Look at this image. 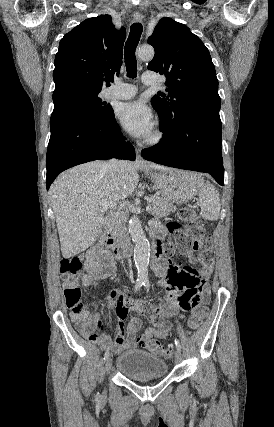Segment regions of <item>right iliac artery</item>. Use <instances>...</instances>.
Listing matches in <instances>:
<instances>
[{"mask_svg":"<svg viewBox=\"0 0 274 427\" xmlns=\"http://www.w3.org/2000/svg\"><path fill=\"white\" fill-rule=\"evenodd\" d=\"M142 285H144V282L140 281V280H137V282L135 284V288H134L135 292L138 291L141 288ZM108 357H109V351L107 350L106 353H105V355H104V358H103L104 361H106ZM98 397H99V395H98Z\"/></svg>","mask_w":274,"mask_h":427,"instance_id":"obj_1","label":"right iliac artery"}]
</instances>
